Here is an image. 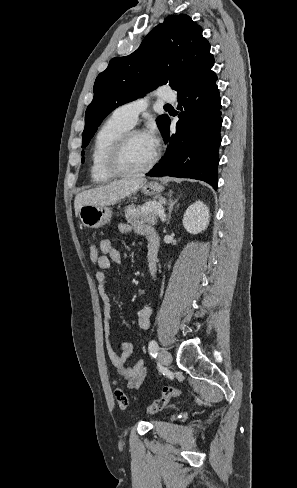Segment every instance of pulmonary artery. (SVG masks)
Segmentation results:
<instances>
[{"label": "pulmonary artery", "mask_w": 297, "mask_h": 488, "mask_svg": "<svg viewBox=\"0 0 297 488\" xmlns=\"http://www.w3.org/2000/svg\"><path fill=\"white\" fill-rule=\"evenodd\" d=\"M155 95L159 100L165 102H175L176 100V96L174 93L164 89H158L155 92ZM148 104H149L148 96L137 98L133 101H130L128 103L119 106L114 111V113L120 119H122L124 122H126L128 125L132 127L137 122L138 115L147 109Z\"/></svg>", "instance_id": "1"}]
</instances>
